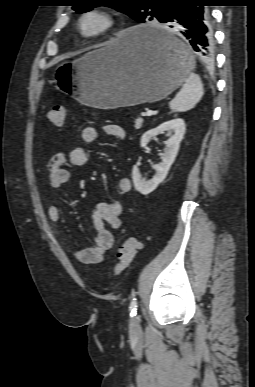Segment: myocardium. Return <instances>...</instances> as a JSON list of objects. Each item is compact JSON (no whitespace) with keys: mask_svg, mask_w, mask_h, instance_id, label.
<instances>
[{"mask_svg":"<svg viewBox=\"0 0 255 387\" xmlns=\"http://www.w3.org/2000/svg\"><path fill=\"white\" fill-rule=\"evenodd\" d=\"M95 21V25L88 26L89 21ZM116 24L113 13L101 8H89L78 17L77 30L82 38L93 39L108 33Z\"/></svg>","mask_w":255,"mask_h":387,"instance_id":"myocardium-1","label":"myocardium"}]
</instances>
